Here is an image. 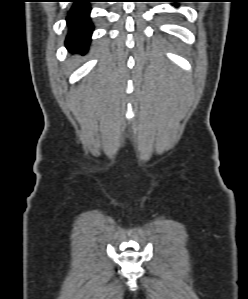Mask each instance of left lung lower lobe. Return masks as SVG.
I'll use <instances>...</instances> for the list:
<instances>
[{
	"label": "left lung lower lobe",
	"instance_id": "left-lung-lower-lobe-1",
	"mask_svg": "<svg viewBox=\"0 0 248 299\" xmlns=\"http://www.w3.org/2000/svg\"><path fill=\"white\" fill-rule=\"evenodd\" d=\"M182 0H171L170 2H181Z\"/></svg>",
	"mask_w": 248,
	"mask_h": 299
}]
</instances>
